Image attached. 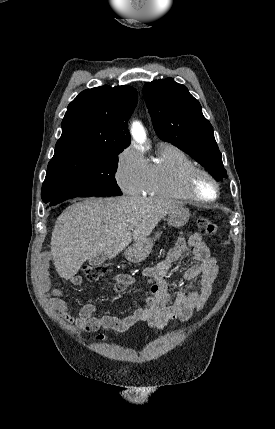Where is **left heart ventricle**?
<instances>
[{
  "label": "left heart ventricle",
  "mask_w": 275,
  "mask_h": 429,
  "mask_svg": "<svg viewBox=\"0 0 275 429\" xmlns=\"http://www.w3.org/2000/svg\"><path fill=\"white\" fill-rule=\"evenodd\" d=\"M198 193L204 198H213L215 195V188L213 184L206 178H200L197 183Z\"/></svg>",
  "instance_id": "obj_1"
}]
</instances>
